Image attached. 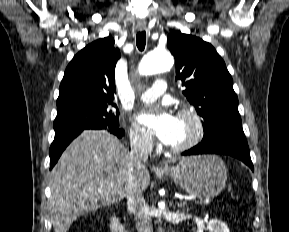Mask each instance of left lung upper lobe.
<instances>
[{
    "label": "left lung upper lobe",
    "instance_id": "left-lung-upper-lobe-1",
    "mask_svg": "<svg viewBox=\"0 0 289 232\" xmlns=\"http://www.w3.org/2000/svg\"><path fill=\"white\" fill-rule=\"evenodd\" d=\"M167 47L175 57L183 94L203 118L202 142L244 135L232 77L214 47L180 31L168 35Z\"/></svg>",
    "mask_w": 289,
    "mask_h": 232
}]
</instances>
